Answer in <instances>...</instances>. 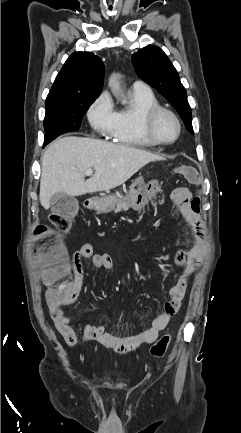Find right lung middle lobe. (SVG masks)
Instances as JSON below:
<instances>
[{"mask_svg": "<svg viewBox=\"0 0 241 433\" xmlns=\"http://www.w3.org/2000/svg\"><path fill=\"white\" fill-rule=\"evenodd\" d=\"M94 101L95 99L46 102L44 145L63 133L79 130L83 115Z\"/></svg>", "mask_w": 241, "mask_h": 433, "instance_id": "right-lung-middle-lobe-1", "label": "right lung middle lobe"}]
</instances>
